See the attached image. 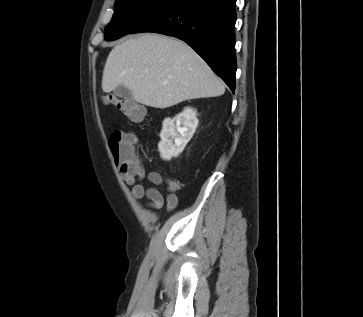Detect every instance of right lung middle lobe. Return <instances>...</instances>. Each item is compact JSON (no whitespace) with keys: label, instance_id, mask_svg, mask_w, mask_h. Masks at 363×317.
Here are the masks:
<instances>
[{"label":"right lung middle lobe","instance_id":"right-lung-middle-lobe-1","mask_svg":"<svg viewBox=\"0 0 363 317\" xmlns=\"http://www.w3.org/2000/svg\"><path fill=\"white\" fill-rule=\"evenodd\" d=\"M177 0H116L111 22L105 28V40H115Z\"/></svg>","mask_w":363,"mask_h":317}]
</instances>
